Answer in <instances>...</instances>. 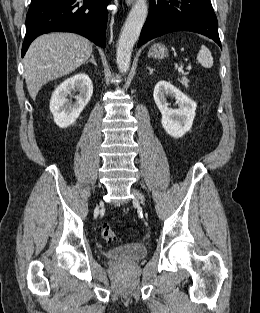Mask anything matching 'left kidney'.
<instances>
[{
	"label": "left kidney",
	"instance_id": "obj_1",
	"mask_svg": "<svg viewBox=\"0 0 260 313\" xmlns=\"http://www.w3.org/2000/svg\"><path fill=\"white\" fill-rule=\"evenodd\" d=\"M154 101L162 114L161 123L166 132L180 138L192 128L196 103L166 81H159L154 88ZM175 98L178 109L168 107L167 98Z\"/></svg>",
	"mask_w": 260,
	"mask_h": 313
}]
</instances>
